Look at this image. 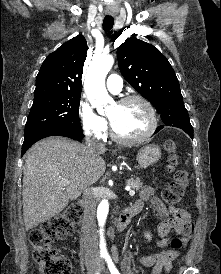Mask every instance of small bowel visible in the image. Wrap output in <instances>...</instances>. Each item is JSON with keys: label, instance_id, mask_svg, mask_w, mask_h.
<instances>
[{"label": "small bowel", "instance_id": "1", "mask_svg": "<svg viewBox=\"0 0 221 274\" xmlns=\"http://www.w3.org/2000/svg\"><path fill=\"white\" fill-rule=\"evenodd\" d=\"M150 201L153 207L158 212V215L163 219L157 229L159 240L157 245L165 248L168 244L167 236L170 232L183 234V242H187L189 234H185V226L191 222L187 213L178 207L167 205L159 197L154 195V189L147 186L142 189L140 199L133 205L139 212L145 201ZM178 256L177 250H164L160 253L146 255L140 257V263L149 269L146 274H167L172 268V261Z\"/></svg>", "mask_w": 221, "mask_h": 274}]
</instances>
